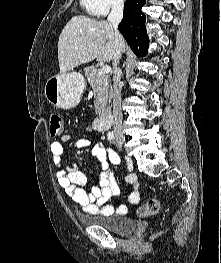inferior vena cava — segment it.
<instances>
[{"label": "inferior vena cava", "mask_w": 221, "mask_h": 263, "mask_svg": "<svg viewBox=\"0 0 221 263\" xmlns=\"http://www.w3.org/2000/svg\"><path fill=\"white\" fill-rule=\"evenodd\" d=\"M124 0H112L111 12L108 16V22L114 28L115 35V52L113 57V126L114 134L117 139H122V108H121V84L120 77L121 71L119 69V62L121 59V53L124 52L125 45L124 39L118 31V25L123 18Z\"/></svg>", "instance_id": "obj_1"}]
</instances>
